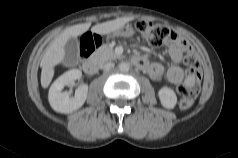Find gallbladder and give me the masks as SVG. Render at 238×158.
Returning a JSON list of instances; mask_svg holds the SVG:
<instances>
[{
    "instance_id": "gallbladder-1",
    "label": "gallbladder",
    "mask_w": 238,
    "mask_h": 158,
    "mask_svg": "<svg viewBox=\"0 0 238 158\" xmlns=\"http://www.w3.org/2000/svg\"><path fill=\"white\" fill-rule=\"evenodd\" d=\"M65 56L63 62L65 65L72 66L79 63V43L74 37H71L66 42L65 46Z\"/></svg>"
}]
</instances>
